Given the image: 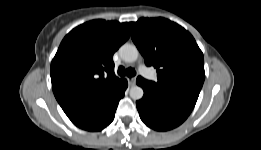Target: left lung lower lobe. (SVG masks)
<instances>
[{
    "label": "left lung lower lobe",
    "instance_id": "1",
    "mask_svg": "<svg viewBox=\"0 0 261 150\" xmlns=\"http://www.w3.org/2000/svg\"><path fill=\"white\" fill-rule=\"evenodd\" d=\"M144 96L136 102L141 120L150 128L166 131L179 126L193 110L197 98L177 90L158 89L137 78Z\"/></svg>",
    "mask_w": 261,
    "mask_h": 150
}]
</instances>
